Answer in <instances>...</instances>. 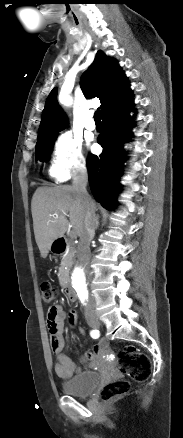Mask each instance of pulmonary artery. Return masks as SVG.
<instances>
[{
    "mask_svg": "<svg viewBox=\"0 0 183 438\" xmlns=\"http://www.w3.org/2000/svg\"><path fill=\"white\" fill-rule=\"evenodd\" d=\"M85 127H86V129L91 130V131L95 130L96 124L92 119V114H88V116L85 120Z\"/></svg>",
    "mask_w": 183,
    "mask_h": 438,
    "instance_id": "pulmonary-artery-1",
    "label": "pulmonary artery"
}]
</instances>
